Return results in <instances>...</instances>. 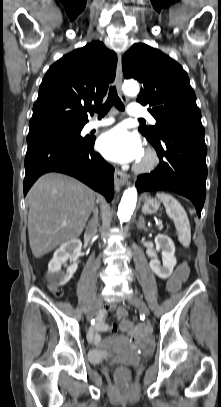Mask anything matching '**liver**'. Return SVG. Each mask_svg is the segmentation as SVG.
<instances>
[{
  "instance_id": "6515ba94",
  "label": "liver",
  "mask_w": 221,
  "mask_h": 407,
  "mask_svg": "<svg viewBox=\"0 0 221 407\" xmlns=\"http://www.w3.org/2000/svg\"><path fill=\"white\" fill-rule=\"evenodd\" d=\"M27 202L29 244L34 257L40 258L81 235L94 209L95 193L72 177L47 173L31 187Z\"/></svg>"
}]
</instances>
